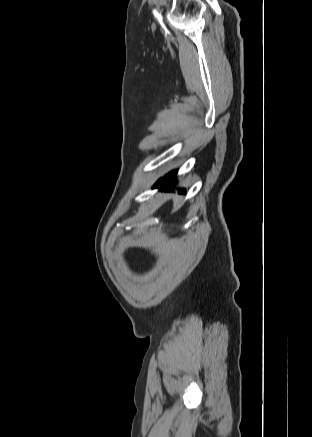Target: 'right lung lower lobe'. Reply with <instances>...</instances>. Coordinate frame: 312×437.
Instances as JSON below:
<instances>
[{"label": "right lung lower lobe", "mask_w": 312, "mask_h": 437, "mask_svg": "<svg viewBox=\"0 0 312 437\" xmlns=\"http://www.w3.org/2000/svg\"><path fill=\"white\" fill-rule=\"evenodd\" d=\"M175 175H176V171L171 172L170 174L166 175L165 177L159 179L157 184L154 187L155 188L160 187L162 190H172ZM182 192L185 193V190H182Z\"/></svg>", "instance_id": "98d812e1"}]
</instances>
